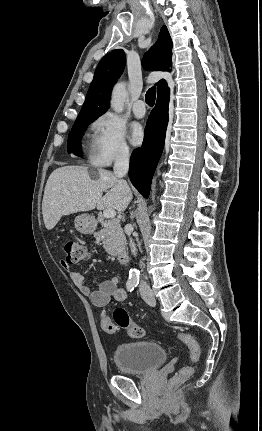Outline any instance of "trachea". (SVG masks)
Returning a JSON list of instances; mask_svg holds the SVG:
<instances>
[{
    "label": "trachea",
    "mask_w": 262,
    "mask_h": 431,
    "mask_svg": "<svg viewBox=\"0 0 262 431\" xmlns=\"http://www.w3.org/2000/svg\"><path fill=\"white\" fill-rule=\"evenodd\" d=\"M155 98H156V88L152 87L150 88L145 95V102L149 105V106H153L155 103Z\"/></svg>",
    "instance_id": "1"
}]
</instances>
